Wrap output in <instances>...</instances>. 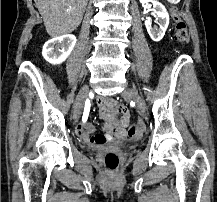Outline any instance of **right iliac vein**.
Returning a JSON list of instances; mask_svg holds the SVG:
<instances>
[{
	"instance_id": "1",
	"label": "right iliac vein",
	"mask_w": 217,
	"mask_h": 202,
	"mask_svg": "<svg viewBox=\"0 0 217 202\" xmlns=\"http://www.w3.org/2000/svg\"><path fill=\"white\" fill-rule=\"evenodd\" d=\"M88 92H89V88L83 87L77 95L76 103L74 105V113H73V118L75 121H77V119L79 118L82 112L84 101L86 99Z\"/></svg>"
}]
</instances>
